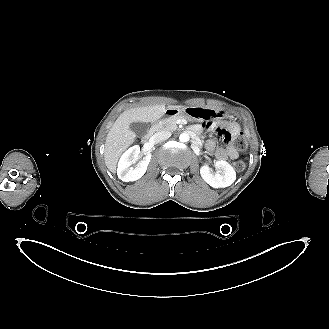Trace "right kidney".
Returning a JSON list of instances; mask_svg holds the SVG:
<instances>
[{"label": "right kidney", "instance_id": "right-kidney-1", "mask_svg": "<svg viewBox=\"0 0 329 329\" xmlns=\"http://www.w3.org/2000/svg\"><path fill=\"white\" fill-rule=\"evenodd\" d=\"M139 156V145L130 147L122 154L117 168V175L119 179L124 182H130L136 181L144 175L151 160V153L147 152L143 160L138 163L137 167H132V165L138 160Z\"/></svg>", "mask_w": 329, "mask_h": 329}]
</instances>
